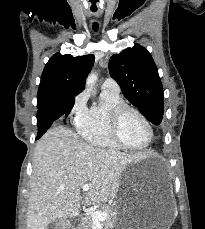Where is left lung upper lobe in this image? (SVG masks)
<instances>
[{
    "label": "left lung upper lobe",
    "instance_id": "left-lung-upper-lobe-1",
    "mask_svg": "<svg viewBox=\"0 0 205 229\" xmlns=\"http://www.w3.org/2000/svg\"><path fill=\"white\" fill-rule=\"evenodd\" d=\"M109 72L124 96L153 124L159 125L164 112L163 88L148 50L138 44L114 54Z\"/></svg>",
    "mask_w": 205,
    "mask_h": 229
}]
</instances>
